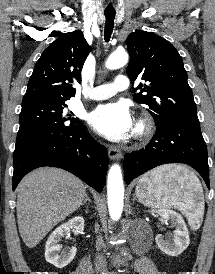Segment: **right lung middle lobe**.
I'll return each instance as SVG.
<instances>
[{
  "label": "right lung middle lobe",
  "mask_w": 215,
  "mask_h": 274,
  "mask_svg": "<svg viewBox=\"0 0 215 274\" xmlns=\"http://www.w3.org/2000/svg\"><path fill=\"white\" fill-rule=\"evenodd\" d=\"M65 107V101H37L22 105L14 162L33 147L81 125L72 114H67Z\"/></svg>",
  "instance_id": "1"
}]
</instances>
